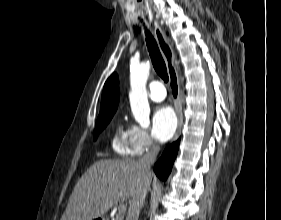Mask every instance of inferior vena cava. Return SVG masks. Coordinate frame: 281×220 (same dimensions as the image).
Wrapping results in <instances>:
<instances>
[{
	"label": "inferior vena cava",
	"mask_w": 281,
	"mask_h": 220,
	"mask_svg": "<svg viewBox=\"0 0 281 220\" xmlns=\"http://www.w3.org/2000/svg\"><path fill=\"white\" fill-rule=\"evenodd\" d=\"M159 151L160 146L158 144H153L146 154L138 161L143 171L144 178L137 190L133 193L126 220H138L140 210L144 204L151 183V165L154 163Z\"/></svg>",
	"instance_id": "inferior-vena-cava-1"
}]
</instances>
